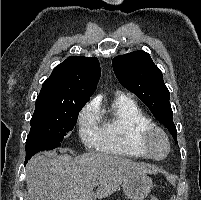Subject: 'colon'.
Masks as SVG:
<instances>
[{
  "label": "colon",
  "instance_id": "1",
  "mask_svg": "<svg viewBox=\"0 0 201 200\" xmlns=\"http://www.w3.org/2000/svg\"><path fill=\"white\" fill-rule=\"evenodd\" d=\"M151 200H158L156 197H152Z\"/></svg>",
  "mask_w": 201,
  "mask_h": 200
}]
</instances>
